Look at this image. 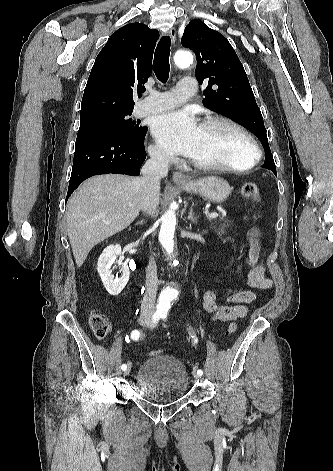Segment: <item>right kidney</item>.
Listing matches in <instances>:
<instances>
[{
	"label": "right kidney",
	"instance_id": "right-kidney-1",
	"mask_svg": "<svg viewBox=\"0 0 333 471\" xmlns=\"http://www.w3.org/2000/svg\"><path fill=\"white\" fill-rule=\"evenodd\" d=\"M120 256L117 263L122 265V275L120 278L114 279L112 275L111 267L116 261V257ZM124 256L121 251L120 245H110L106 247L100 255L97 263V271L101 277V281L110 295L117 296L125 288L129 281V267L127 264H123Z\"/></svg>",
	"mask_w": 333,
	"mask_h": 471
}]
</instances>
